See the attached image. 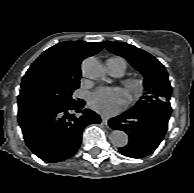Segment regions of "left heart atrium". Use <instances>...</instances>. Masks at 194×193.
Instances as JSON below:
<instances>
[{
    "label": "left heart atrium",
    "instance_id": "left-heart-atrium-1",
    "mask_svg": "<svg viewBox=\"0 0 194 193\" xmlns=\"http://www.w3.org/2000/svg\"><path fill=\"white\" fill-rule=\"evenodd\" d=\"M89 105L103 115H114L125 107L126 95L120 88L100 87L91 95Z\"/></svg>",
    "mask_w": 194,
    "mask_h": 193
}]
</instances>
